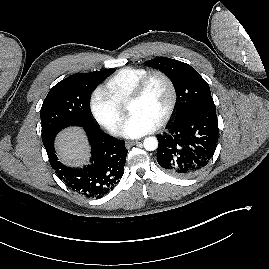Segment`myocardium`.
<instances>
[{
  "label": "myocardium",
  "instance_id": "1",
  "mask_svg": "<svg viewBox=\"0 0 269 269\" xmlns=\"http://www.w3.org/2000/svg\"><path fill=\"white\" fill-rule=\"evenodd\" d=\"M156 77H159L166 82V84L169 88V92H170V100H169V104L167 106V109L164 112L161 119L157 123V127H161L169 121L170 117L172 116V114L175 110V107L177 104V99H178L176 85H175L173 79L168 74H166L165 72L160 71V70H154V71L148 72L145 76H143L139 80V82L137 83V85L133 89V91L128 99V105L131 104L132 102L140 100L144 96L150 82Z\"/></svg>",
  "mask_w": 269,
  "mask_h": 269
}]
</instances>
